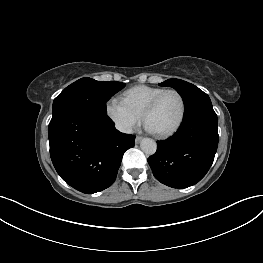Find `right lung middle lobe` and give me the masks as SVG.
Here are the masks:
<instances>
[{
  "mask_svg": "<svg viewBox=\"0 0 263 263\" xmlns=\"http://www.w3.org/2000/svg\"><path fill=\"white\" fill-rule=\"evenodd\" d=\"M125 83L99 82L85 77L66 87L53 102L52 117L67 109H85L106 113V102L120 91Z\"/></svg>",
  "mask_w": 263,
  "mask_h": 263,
  "instance_id": "1",
  "label": "right lung middle lobe"
}]
</instances>
